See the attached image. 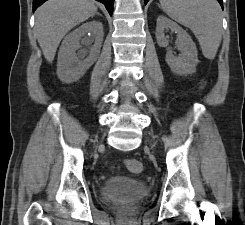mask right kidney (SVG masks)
I'll use <instances>...</instances> for the list:
<instances>
[{
	"label": "right kidney",
	"mask_w": 245,
	"mask_h": 225,
	"mask_svg": "<svg viewBox=\"0 0 245 225\" xmlns=\"http://www.w3.org/2000/svg\"><path fill=\"white\" fill-rule=\"evenodd\" d=\"M103 36V25L99 21L84 23L67 35L58 53V78L65 83L78 81L97 59ZM80 42L89 51L86 48L81 49ZM93 42L94 44L91 46ZM77 50H79L78 53H76ZM88 52L89 56L86 57Z\"/></svg>",
	"instance_id": "right-kidney-1"
}]
</instances>
